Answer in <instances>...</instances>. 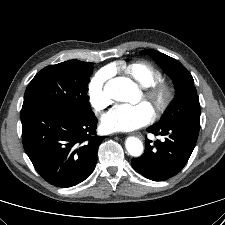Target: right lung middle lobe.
Returning a JSON list of instances; mask_svg holds the SVG:
<instances>
[{"label": "right lung middle lobe", "mask_w": 225, "mask_h": 225, "mask_svg": "<svg viewBox=\"0 0 225 225\" xmlns=\"http://www.w3.org/2000/svg\"><path fill=\"white\" fill-rule=\"evenodd\" d=\"M92 66L91 62L69 60L45 67L27 86L22 107L46 105L78 117L94 116L86 95Z\"/></svg>", "instance_id": "1"}]
</instances>
